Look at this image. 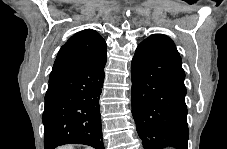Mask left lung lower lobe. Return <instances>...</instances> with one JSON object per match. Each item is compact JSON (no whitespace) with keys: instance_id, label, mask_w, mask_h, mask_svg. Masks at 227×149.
Wrapping results in <instances>:
<instances>
[{"instance_id":"0a47b994","label":"left lung lower lobe","mask_w":227,"mask_h":149,"mask_svg":"<svg viewBox=\"0 0 227 149\" xmlns=\"http://www.w3.org/2000/svg\"><path fill=\"white\" fill-rule=\"evenodd\" d=\"M132 114L144 149H188L186 87L174 42L155 34L142 41L131 64Z\"/></svg>"}]
</instances>
